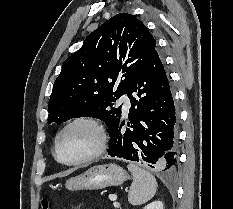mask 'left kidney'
<instances>
[{"label":"left kidney","instance_id":"left-kidney-1","mask_svg":"<svg viewBox=\"0 0 233 209\" xmlns=\"http://www.w3.org/2000/svg\"><path fill=\"white\" fill-rule=\"evenodd\" d=\"M144 209H164L161 201H154L144 207Z\"/></svg>","mask_w":233,"mask_h":209}]
</instances>
